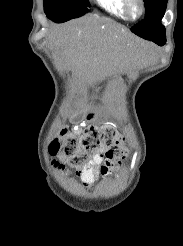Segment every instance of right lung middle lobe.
<instances>
[{
	"mask_svg": "<svg viewBox=\"0 0 183 246\" xmlns=\"http://www.w3.org/2000/svg\"><path fill=\"white\" fill-rule=\"evenodd\" d=\"M88 0H44V11L56 23L66 22L87 13Z\"/></svg>",
	"mask_w": 183,
	"mask_h": 246,
	"instance_id": "obj_1",
	"label": "right lung middle lobe"
}]
</instances>
